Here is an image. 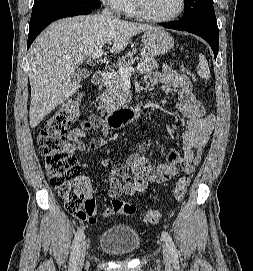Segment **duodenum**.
I'll return each instance as SVG.
<instances>
[{"mask_svg": "<svg viewBox=\"0 0 253 271\" xmlns=\"http://www.w3.org/2000/svg\"><path fill=\"white\" fill-rule=\"evenodd\" d=\"M105 77L104 71H97L93 75L92 82L95 86H100L104 83ZM143 113V106L136 104L118 108H104L101 111V117L110 128H119L140 117Z\"/></svg>", "mask_w": 253, "mask_h": 271, "instance_id": "410a0bca", "label": "duodenum"}]
</instances>
